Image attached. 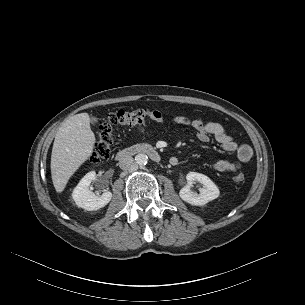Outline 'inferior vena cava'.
I'll use <instances>...</instances> for the list:
<instances>
[{
	"mask_svg": "<svg viewBox=\"0 0 305 305\" xmlns=\"http://www.w3.org/2000/svg\"><path fill=\"white\" fill-rule=\"evenodd\" d=\"M134 159L131 156H123L119 160V167L123 170H128L133 166Z\"/></svg>",
	"mask_w": 305,
	"mask_h": 305,
	"instance_id": "obj_1",
	"label": "inferior vena cava"
}]
</instances>
